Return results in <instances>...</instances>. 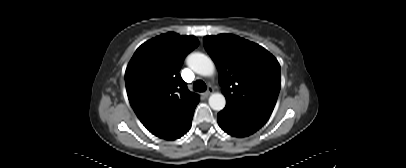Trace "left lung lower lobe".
Returning <instances> with one entry per match:
<instances>
[{
  "label": "left lung lower lobe",
  "instance_id": "0a47b994",
  "mask_svg": "<svg viewBox=\"0 0 406 168\" xmlns=\"http://www.w3.org/2000/svg\"><path fill=\"white\" fill-rule=\"evenodd\" d=\"M268 117L237 108L232 105L218 113L219 126L228 134L235 137H245L259 130Z\"/></svg>",
  "mask_w": 406,
  "mask_h": 168
}]
</instances>
